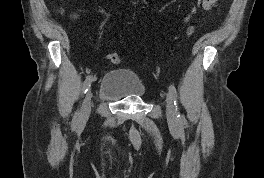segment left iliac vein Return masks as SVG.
Listing matches in <instances>:
<instances>
[{"mask_svg":"<svg viewBox=\"0 0 264 178\" xmlns=\"http://www.w3.org/2000/svg\"><path fill=\"white\" fill-rule=\"evenodd\" d=\"M166 104H167V119L170 124H176V111L173 100L170 96L166 97Z\"/></svg>","mask_w":264,"mask_h":178,"instance_id":"obj_1","label":"left iliac vein"}]
</instances>
